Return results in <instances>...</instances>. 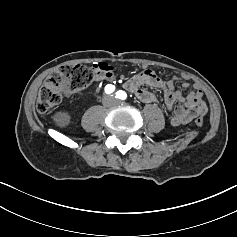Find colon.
Wrapping results in <instances>:
<instances>
[{
  "instance_id": "obj_1",
  "label": "colon",
  "mask_w": 237,
  "mask_h": 237,
  "mask_svg": "<svg viewBox=\"0 0 237 237\" xmlns=\"http://www.w3.org/2000/svg\"><path fill=\"white\" fill-rule=\"evenodd\" d=\"M115 67L106 62H98L92 67L84 65H62L48 75L39 90L36 109L40 113L62 101L64 92H77L92 83L98 76L114 75ZM201 116L195 119L197 127L203 126Z\"/></svg>"
}]
</instances>
